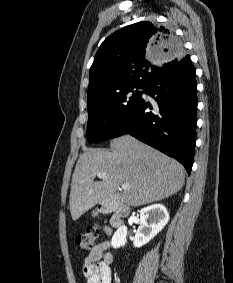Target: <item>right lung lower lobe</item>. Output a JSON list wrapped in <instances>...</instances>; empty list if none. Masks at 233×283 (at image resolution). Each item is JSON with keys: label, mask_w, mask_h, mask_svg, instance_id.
<instances>
[{"label": "right lung lower lobe", "mask_w": 233, "mask_h": 283, "mask_svg": "<svg viewBox=\"0 0 233 283\" xmlns=\"http://www.w3.org/2000/svg\"><path fill=\"white\" fill-rule=\"evenodd\" d=\"M144 93L156 103L141 98L111 138L130 134L175 158L190 174L196 142L197 83L189 55L154 78Z\"/></svg>", "instance_id": "1"}]
</instances>
